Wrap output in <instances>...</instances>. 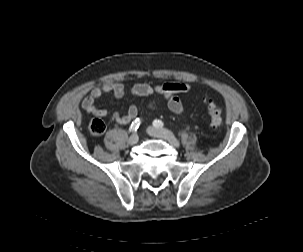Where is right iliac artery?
Returning <instances> with one entry per match:
<instances>
[{
	"label": "right iliac artery",
	"mask_w": 303,
	"mask_h": 252,
	"mask_svg": "<svg viewBox=\"0 0 303 252\" xmlns=\"http://www.w3.org/2000/svg\"><path fill=\"white\" fill-rule=\"evenodd\" d=\"M140 123H141L140 120L136 119L134 122H132L129 130L132 131V132L136 131L139 128Z\"/></svg>",
	"instance_id": "82829eb1"
}]
</instances>
